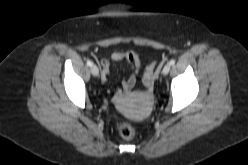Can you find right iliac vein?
Wrapping results in <instances>:
<instances>
[{
    "instance_id": "right-iliac-vein-1",
    "label": "right iliac vein",
    "mask_w": 248,
    "mask_h": 165,
    "mask_svg": "<svg viewBox=\"0 0 248 165\" xmlns=\"http://www.w3.org/2000/svg\"><path fill=\"white\" fill-rule=\"evenodd\" d=\"M91 73H92L93 76H98L99 69H98V67L96 65L91 66Z\"/></svg>"
}]
</instances>
